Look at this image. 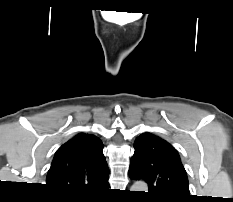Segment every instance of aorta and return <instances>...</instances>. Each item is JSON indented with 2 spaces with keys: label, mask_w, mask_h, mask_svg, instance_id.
Here are the masks:
<instances>
[{
  "label": "aorta",
  "mask_w": 233,
  "mask_h": 202,
  "mask_svg": "<svg viewBox=\"0 0 233 202\" xmlns=\"http://www.w3.org/2000/svg\"><path fill=\"white\" fill-rule=\"evenodd\" d=\"M132 191H146L147 185L144 182H136L131 187Z\"/></svg>",
  "instance_id": "762f6f07"
}]
</instances>
